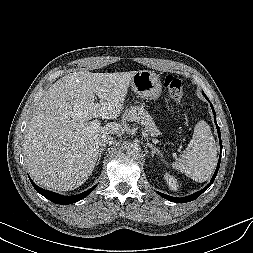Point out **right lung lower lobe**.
<instances>
[{
  "instance_id": "98d812e1",
  "label": "right lung lower lobe",
  "mask_w": 253,
  "mask_h": 253,
  "mask_svg": "<svg viewBox=\"0 0 253 253\" xmlns=\"http://www.w3.org/2000/svg\"><path fill=\"white\" fill-rule=\"evenodd\" d=\"M33 187L35 188V190L40 193L41 195H43L44 197H46L47 199H49L50 201H52L53 203L56 204H72L74 202H77L83 198H85L94 188L92 187L91 189L80 193L78 195H74V196H63V195H59L57 193L48 191V190H44L40 187H38L31 179H30Z\"/></svg>"
}]
</instances>
